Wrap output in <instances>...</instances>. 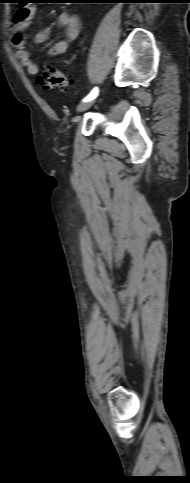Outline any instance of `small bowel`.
I'll use <instances>...</instances> for the list:
<instances>
[{"label":"small bowel","instance_id":"1","mask_svg":"<svg viewBox=\"0 0 190 483\" xmlns=\"http://www.w3.org/2000/svg\"><path fill=\"white\" fill-rule=\"evenodd\" d=\"M33 14L34 8L27 5H21L16 10L13 17L11 43L15 48L16 59L26 69L29 75L35 76L39 72V67L31 58L24 41V32L30 26ZM58 21L64 27V37L55 42L47 51L49 57H56L64 54L70 44L78 37L81 29L79 17L71 11H63L60 13ZM49 37V30H40L34 36V43L44 44L48 41Z\"/></svg>","mask_w":190,"mask_h":483}]
</instances>
